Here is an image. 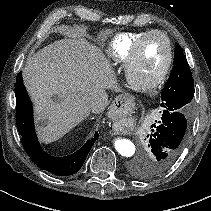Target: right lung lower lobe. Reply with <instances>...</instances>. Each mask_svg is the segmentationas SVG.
<instances>
[{"label":"right lung lower lobe","instance_id":"right-lung-lower-lobe-1","mask_svg":"<svg viewBox=\"0 0 211 211\" xmlns=\"http://www.w3.org/2000/svg\"><path fill=\"white\" fill-rule=\"evenodd\" d=\"M15 95L18 131L22 136V144L33 162L40 168L56 175L68 176L78 172L98 138V132L75 153L65 157H53L42 150L37 140L32 103L23 85L21 74H18L16 78Z\"/></svg>","mask_w":211,"mask_h":211}]
</instances>
